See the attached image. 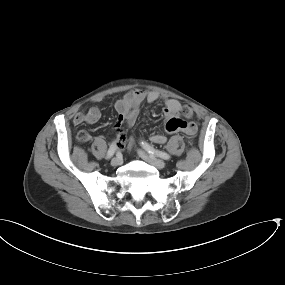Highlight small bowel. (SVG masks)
<instances>
[{
  "instance_id": "small-bowel-1",
  "label": "small bowel",
  "mask_w": 285,
  "mask_h": 285,
  "mask_svg": "<svg viewBox=\"0 0 285 285\" xmlns=\"http://www.w3.org/2000/svg\"><path fill=\"white\" fill-rule=\"evenodd\" d=\"M161 95L157 91H143L132 90L123 95L115 103V109L117 111V121L115 124L116 142L118 146H122L124 142V126H133L138 118L140 106L143 102L154 103L160 99ZM182 105L174 99L165 97L163 99V114L165 116L164 129L168 133L183 132L187 135L190 133V126L195 131V126L191 122H186L181 118ZM101 118V110L98 107H91L87 111H77L73 115V123L78 125L82 123L93 124L99 121ZM86 134L90 139V134L82 130L78 134V139ZM151 141L156 144H164L166 142V136L162 134H153Z\"/></svg>"
}]
</instances>
